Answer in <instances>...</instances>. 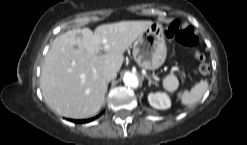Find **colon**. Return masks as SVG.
Instances as JSON below:
<instances>
[{"instance_id": "1", "label": "colon", "mask_w": 247, "mask_h": 145, "mask_svg": "<svg viewBox=\"0 0 247 145\" xmlns=\"http://www.w3.org/2000/svg\"><path fill=\"white\" fill-rule=\"evenodd\" d=\"M165 36L171 41H175L183 46L194 48L198 43V38L191 27H182L180 21L175 20L165 29ZM195 58L200 62L199 72L206 76L210 72V66L206 63L205 55L195 51Z\"/></svg>"}]
</instances>
